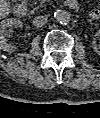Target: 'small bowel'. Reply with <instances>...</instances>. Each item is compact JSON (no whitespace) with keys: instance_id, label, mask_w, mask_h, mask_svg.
Segmentation results:
<instances>
[{"instance_id":"obj_1","label":"small bowel","mask_w":100,"mask_h":118,"mask_svg":"<svg viewBox=\"0 0 100 118\" xmlns=\"http://www.w3.org/2000/svg\"><path fill=\"white\" fill-rule=\"evenodd\" d=\"M92 15H93V17H98L99 11H98V10H94V11L92 12Z\"/></svg>"}]
</instances>
